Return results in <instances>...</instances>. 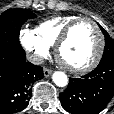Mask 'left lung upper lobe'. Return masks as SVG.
<instances>
[{
  "label": "left lung upper lobe",
  "instance_id": "obj_1",
  "mask_svg": "<svg viewBox=\"0 0 114 114\" xmlns=\"http://www.w3.org/2000/svg\"><path fill=\"white\" fill-rule=\"evenodd\" d=\"M99 27L105 36V48L101 62L114 61V40L100 25Z\"/></svg>",
  "mask_w": 114,
  "mask_h": 114
}]
</instances>
